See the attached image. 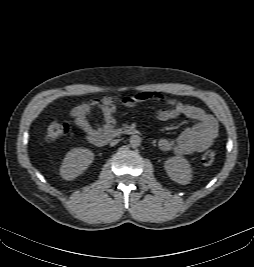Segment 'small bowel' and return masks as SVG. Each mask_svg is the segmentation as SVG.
Here are the masks:
<instances>
[{"label": "small bowel", "mask_w": 254, "mask_h": 267, "mask_svg": "<svg viewBox=\"0 0 254 267\" xmlns=\"http://www.w3.org/2000/svg\"><path fill=\"white\" fill-rule=\"evenodd\" d=\"M151 99L165 100L168 105V108L161 109L158 112L157 117L160 121H169L184 116L197 122L192 127L185 129L175 140L161 139L159 141L161 150L172 151L178 155H189L203 152L211 146L218 133V123L212 115L206 113L202 108L166 98L162 93L152 91H141L127 95L121 101L124 106L133 108ZM94 108L98 109L103 115L104 123L102 127L92 125L88 119ZM116 111L115 98L105 96L101 99L77 104L71 110V115L76 125L90 136L112 130L116 124Z\"/></svg>", "instance_id": "1"}]
</instances>
